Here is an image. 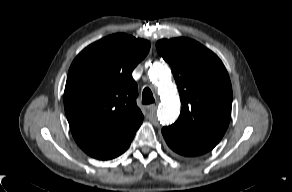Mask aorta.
Masks as SVG:
<instances>
[{
    "instance_id": "762f6f07",
    "label": "aorta",
    "mask_w": 292,
    "mask_h": 192,
    "mask_svg": "<svg viewBox=\"0 0 292 192\" xmlns=\"http://www.w3.org/2000/svg\"><path fill=\"white\" fill-rule=\"evenodd\" d=\"M150 80L158 85L162 103L157 111L163 124L173 123L180 113V101L176 89L170 85L171 71L166 64L153 62L148 70Z\"/></svg>"
}]
</instances>
